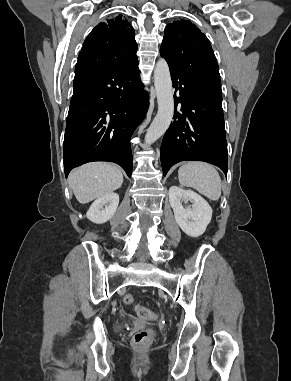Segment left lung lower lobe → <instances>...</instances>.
Returning <instances> with one entry per match:
<instances>
[{
    "label": "left lung lower lobe",
    "mask_w": 291,
    "mask_h": 381,
    "mask_svg": "<svg viewBox=\"0 0 291 381\" xmlns=\"http://www.w3.org/2000/svg\"><path fill=\"white\" fill-rule=\"evenodd\" d=\"M174 95V120L161 145L164 176L183 160H197L220 167L227 176V142L221 86L203 84L170 67ZM181 104L177 112L178 104Z\"/></svg>",
    "instance_id": "0a47b994"
}]
</instances>
